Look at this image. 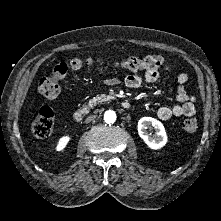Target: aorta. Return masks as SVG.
Wrapping results in <instances>:
<instances>
[{"mask_svg": "<svg viewBox=\"0 0 221 221\" xmlns=\"http://www.w3.org/2000/svg\"><path fill=\"white\" fill-rule=\"evenodd\" d=\"M104 121L108 124H113L116 121V113L113 110H107L104 113Z\"/></svg>", "mask_w": 221, "mask_h": 221, "instance_id": "obj_1", "label": "aorta"}]
</instances>
